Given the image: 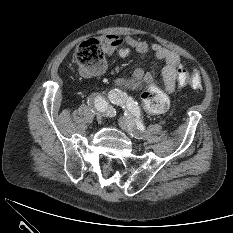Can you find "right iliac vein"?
<instances>
[{"instance_id": "right-iliac-vein-1", "label": "right iliac vein", "mask_w": 233, "mask_h": 233, "mask_svg": "<svg viewBox=\"0 0 233 233\" xmlns=\"http://www.w3.org/2000/svg\"><path fill=\"white\" fill-rule=\"evenodd\" d=\"M96 118H97V121H98L99 123H101V122L103 121V115L100 114V113H97Z\"/></svg>"}]
</instances>
